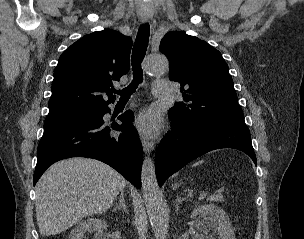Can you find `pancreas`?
I'll use <instances>...</instances> for the list:
<instances>
[{
	"label": "pancreas",
	"instance_id": "pancreas-1",
	"mask_svg": "<svg viewBox=\"0 0 304 239\" xmlns=\"http://www.w3.org/2000/svg\"><path fill=\"white\" fill-rule=\"evenodd\" d=\"M208 200L213 201V202H222V201H224L223 197L220 196V195H213Z\"/></svg>",
	"mask_w": 304,
	"mask_h": 239
}]
</instances>
